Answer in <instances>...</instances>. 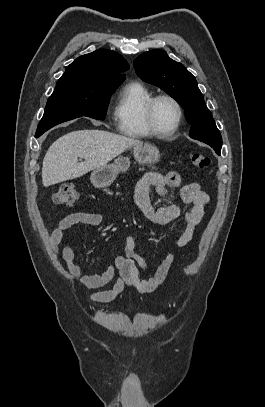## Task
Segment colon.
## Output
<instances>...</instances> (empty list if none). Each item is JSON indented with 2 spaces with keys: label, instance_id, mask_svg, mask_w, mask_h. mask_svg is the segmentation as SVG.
<instances>
[{
  "label": "colon",
  "instance_id": "colon-1",
  "mask_svg": "<svg viewBox=\"0 0 265 407\" xmlns=\"http://www.w3.org/2000/svg\"><path fill=\"white\" fill-rule=\"evenodd\" d=\"M190 160L198 169H206L210 165L208 155L200 152H191ZM80 195L76 187L71 183L61 185L52 196V202L56 205H71L79 199Z\"/></svg>",
  "mask_w": 265,
  "mask_h": 407
}]
</instances>
